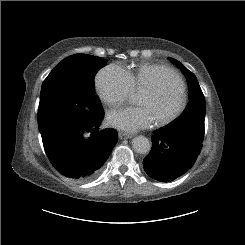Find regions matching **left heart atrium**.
<instances>
[{
    "mask_svg": "<svg viewBox=\"0 0 245 245\" xmlns=\"http://www.w3.org/2000/svg\"><path fill=\"white\" fill-rule=\"evenodd\" d=\"M109 127L128 133L149 128L155 121L147 107H123L111 110L106 117Z\"/></svg>",
    "mask_w": 245,
    "mask_h": 245,
    "instance_id": "left-heart-atrium-1",
    "label": "left heart atrium"
}]
</instances>
